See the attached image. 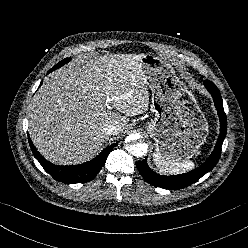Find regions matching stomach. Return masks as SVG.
Returning <instances> with one entry per match:
<instances>
[{"label": "stomach", "mask_w": 248, "mask_h": 248, "mask_svg": "<svg viewBox=\"0 0 248 248\" xmlns=\"http://www.w3.org/2000/svg\"><path fill=\"white\" fill-rule=\"evenodd\" d=\"M140 63L152 94L155 117L146 124V130L155 141V154L165 161H187L207 138V120L171 65L151 54L144 55Z\"/></svg>", "instance_id": "stomach-1"}]
</instances>
